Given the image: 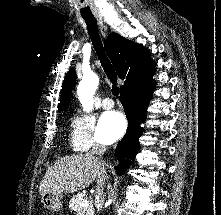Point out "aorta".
<instances>
[{
    "instance_id": "762f6f07",
    "label": "aorta",
    "mask_w": 221,
    "mask_h": 215,
    "mask_svg": "<svg viewBox=\"0 0 221 215\" xmlns=\"http://www.w3.org/2000/svg\"><path fill=\"white\" fill-rule=\"evenodd\" d=\"M99 84L95 74L85 75L77 88V94L83 109L90 112L93 108V97Z\"/></svg>"
}]
</instances>
